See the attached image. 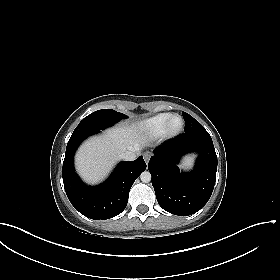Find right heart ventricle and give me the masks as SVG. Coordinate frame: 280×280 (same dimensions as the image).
I'll use <instances>...</instances> for the list:
<instances>
[{
    "label": "right heart ventricle",
    "instance_id": "right-heart-ventricle-1",
    "mask_svg": "<svg viewBox=\"0 0 280 280\" xmlns=\"http://www.w3.org/2000/svg\"><path fill=\"white\" fill-rule=\"evenodd\" d=\"M171 113H160L149 117L138 124L139 132L146 137H159L163 132V128Z\"/></svg>",
    "mask_w": 280,
    "mask_h": 280
}]
</instances>
